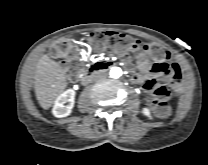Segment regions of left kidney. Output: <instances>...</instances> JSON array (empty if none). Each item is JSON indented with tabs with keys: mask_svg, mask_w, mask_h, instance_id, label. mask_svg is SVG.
<instances>
[{
	"mask_svg": "<svg viewBox=\"0 0 208 165\" xmlns=\"http://www.w3.org/2000/svg\"><path fill=\"white\" fill-rule=\"evenodd\" d=\"M142 113L146 116V117H148L149 119H151V113H150V110L148 109V108H143L142 109Z\"/></svg>",
	"mask_w": 208,
	"mask_h": 165,
	"instance_id": "1",
	"label": "left kidney"
}]
</instances>
